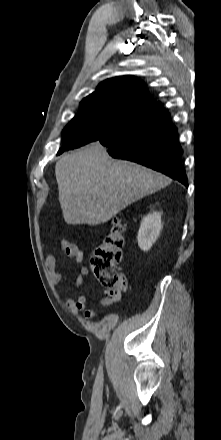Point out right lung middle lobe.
Returning a JSON list of instances; mask_svg holds the SVG:
<instances>
[{
    "instance_id": "right-lung-middle-lobe-1",
    "label": "right lung middle lobe",
    "mask_w": 221,
    "mask_h": 440,
    "mask_svg": "<svg viewBox=\"0 0 221 440\" xmlns=\"http://www.w3.org/2000/svg\"><path fill=\"white\" fill-rule=\"evenodd\" d=\"M110 102L84 103L63 130V145L58 154L97 141L134 114Z\"/></svg>"
}]
</instances>
